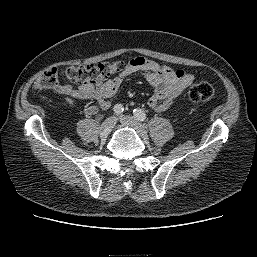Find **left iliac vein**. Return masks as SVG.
<instances>
[{"mask_svg":"<svg viewBox=\"0 0 257 257\" xmlns=\"http://www.w3.org/2000/svg\"><path fill=\"white\" fill-rule=\"evenodd\" d=\"M119 122L122 125L133 127L136 130L137 134L141 138H143V139L148 138V134H147L146 129L134 117H131V116H128V115H121L119 117Z\"/></svg>","mask_w":257,"mask_h":257,"instance_id":"obj_1","label":"left iliac vein"}]
</instances>
